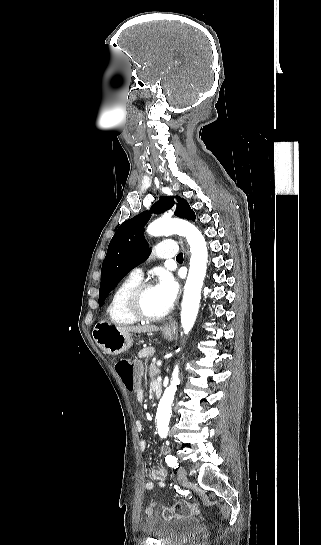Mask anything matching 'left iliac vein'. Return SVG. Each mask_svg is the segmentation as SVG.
Segmentation results:
<instances>
[{"instance_id": "left-iliac-vein-1", "label": "left iliac vein", "mask_w": 321, "mask_h": 545, "mask_svg": "<svg viewBox=\"0 0 321 545\" xmlns=\"http://www.w3.org/2000/svg\"><path fill=\"white\" fill-rule=\"evenodd\" d=\"M177 479L180 483L187 482V472L184 468L180 467L177 471Z\"/></svg>"}]
</instances>
